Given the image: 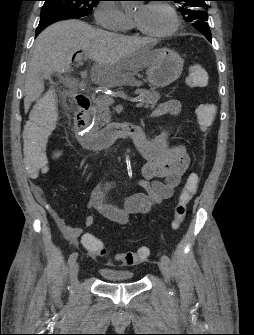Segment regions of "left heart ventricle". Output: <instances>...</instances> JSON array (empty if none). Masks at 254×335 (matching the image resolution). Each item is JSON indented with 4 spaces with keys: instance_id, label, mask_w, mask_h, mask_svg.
<instances>
[{
    "instance_id": "1",
    "label": "left heart ventricle",
    "mask_w": 254,
    "mask_h": 335,
    "mask_svg": "<svg viewBox=\"0 0 254 335\" xmlns=\"http://www.w3.org/2000/svg\"><path fill=\"white\" fill-rule=\"evenodd\" d=\"M133 17L142 29L151 33L167 31L173 25L170 12L162 6L153 4L138 6Z\"/></svg>"
}]
</instances>
